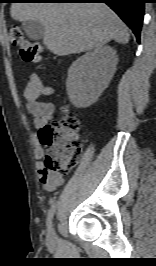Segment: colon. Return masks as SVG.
<instances>
[{"instance_id":"colon-1","label":"colon","mask_w":156,"mask_h":266,"mask_svg":"<svg viewBox=\"0 0 156 266\" xmlns=\"http://www.w3.org/2000/svg\"><path fill=\"white\" fill-rule=\"evenodd\" d=\"M8 35L10 42L18 47L20 56L25 62L38 63L42 60L41 46L26 39L20 27L10 25ZM79 131L80 121L66 108L60 120L40 130V141L46 147L47 172L64 175L76 166L82 152Z\"/></svg>"}]
</instances>
